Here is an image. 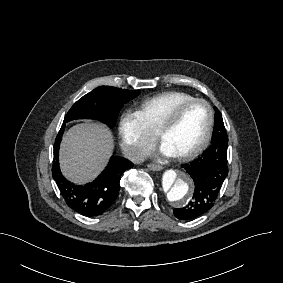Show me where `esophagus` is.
<instances>
[{
  "mask_svg": "<svg viewBox=\"0 0 283 283\" xmlns=\"http://www.w3.org/2000/svg\"><path fill=\"white\" fill-rule=\"evenodd\" d=\"M147 167L152 171H161L163 168L158 164H148Z\"/></svg>",
  "mask_w": 283,
  "mask_h": 283,
  "instance_id": "obj_1",
  "label": "esophagus"
}]
</instances>
